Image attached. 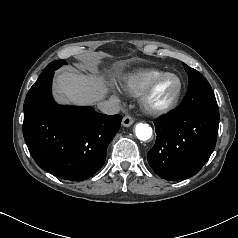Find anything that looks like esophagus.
<instances>
[{
  "mask_svg": "<svg viewBox=\"0 0 238 238\" xmlns=\"http://www.w3.org/2000/svg\"><path fill=\"white\" fill-rule=\"evenodd\" d=\"M133 123H134V119L130 115H126L122 120V125L125 126V127H129Z\"/></svg>",
  "mask_w": 238,
  "mask_h": 238,
  "instance_id": "34e87169",
  "label": "esophagus"
}]
</instances>
